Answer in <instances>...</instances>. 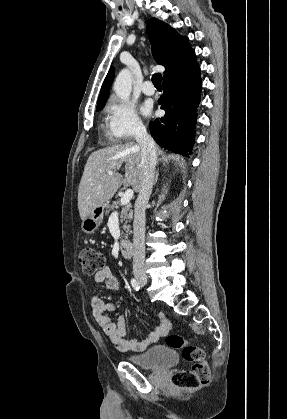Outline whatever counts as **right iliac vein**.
<instances>
[{"label": "right iliac vein", "instance_id": "right-iliac-vein-1", "mask_svg": "<svg viewBox=\"0 0 287 419\" xmlns=\"http://www.w3.org/2000/svg\"><path fill=\"white\" fill-rule=\"evenodd\" d=\"M137 279H138V281H139L141 284H143V285L147 284V279H146V278H144V277H138Z\"/></svg>", "mask_w": 287, "mask_h": 419}]
</instances>
